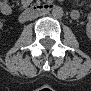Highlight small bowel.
<instances>
[{
  "label": "small bowel",
  "instance_id": "small-bowel-1",
  "mask_svg": "<svg viewBox=\"0 0 91 91\" xmlns=\"http://www.w3.org/2000/svg\"><path fill=\"white\" fill-rule=\"evenodd\" d=\"M2 10H3L4 12H6V11L9 10V6H8L7 3H3V4H2Z\"/></svg>",
  "mask_w": 91,
  "mask_h": 91
}]
</instances>
